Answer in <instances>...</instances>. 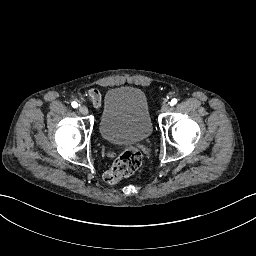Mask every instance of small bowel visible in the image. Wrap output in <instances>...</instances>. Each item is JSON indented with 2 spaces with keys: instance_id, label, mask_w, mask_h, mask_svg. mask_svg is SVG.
I'll use <instances>...</instances> for the list:
<instances>
[{
  "instance_id": "1",
  "label": "small bowel",
  "mask_w": 256,
  "mask_h": 256,
  "mask_svg": "<svg viewBox=\"0 0 256 256\" xmlns=\"http://www.w3.org/2000/svg\"><path fill=\"white\" fill-rule=\"evenodd\" d=\"M86 97L95 107L101 105V94L97 89H89L86 93Z\"/></svg>"
}]
</instances>
